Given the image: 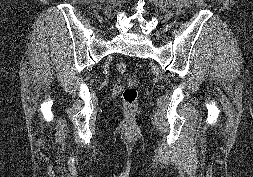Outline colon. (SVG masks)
I'll return each mask as SVG.
<instances>
[{
    "label": "colon",
    "instance_id": "1",
    "mask_svg": "<svg viewBox=\"0 0 253 177\" xmlns=\"http://www.w3.org/2000/svg\"><path fill=\"white\" fill-rule=\"evenodd\" d=\"M117 71L124 74L128 71V67L125 63L119 62L116 65ZM122 99L125 107L129 110H133L137 106L138 90L135 87H127L123 90Z\"/></svg>",
    "mask_w": 253,
    "mask_h": 177
}]
</instances>
